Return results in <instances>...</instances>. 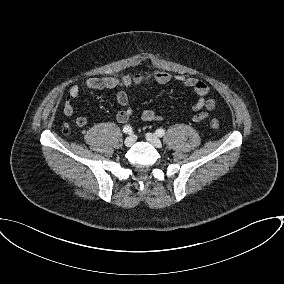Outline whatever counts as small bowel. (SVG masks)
I'll list each match as a JSON object with an SVG mask.
<instances>
[{"instance_id":"obj_1","label":"small bowel","mask_w":284,"mask_h":284,"mask_svg":"<svg viewBox=\"0 0 284 284\" xmlns=\"http://www.w3.org/2000/svg\"><path fill=\"white\" fill-rule=\"evenodd\" d=\"M173 80L193 90L196 96V101L192 105V111L196 113L193 117V121L201 122L206 120L209 117V113L202 112V110L207 109L208 111H213L216 108L215 100L213 98H208L209 87L207 84L190 76H172L170 73L164 71L154 72L152 74H126L121 77L106 76L87 78L82 82L74 84L70 87L65 98L63 111L68 116L74 113L72 100L76 99L84 88L96 91L119 89L116 94V100L118 104L124 108L117 112L116 120L117 122L124 124L129 121L133 111L129 107V97L123 88H128L133 85H141L148 82H155L164 85ZM141 118L146 122H156L163 119V117L157 111L150 109L144 110L141 114ZM76 124L79 127H83L87 124V119L80 116L76 119Z\"/></svg>"}]
</instances>
